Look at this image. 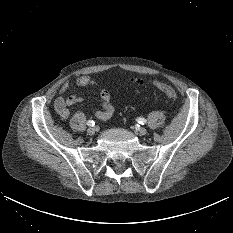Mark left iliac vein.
<instances>
[{"label": "left iliac vein", "mask_w": 233, "mask_h": 233, "mask_svg": "<svg viewBox=\"0 0 233 233\" xmlns=\"http://www.w3.org/2000/svg\"><path fill=\"white\" fill-rule=\"evenodd\" d=\"M136 132L140 135H145L147 133V130L143 127L136 128Z\"/></svg>", "instance_id": "1"}]
</instances>
